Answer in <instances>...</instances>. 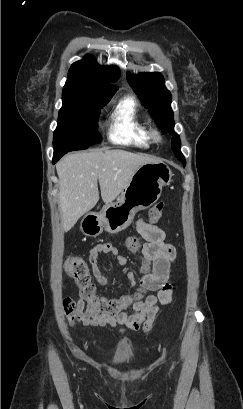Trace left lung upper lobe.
Masks as SVG:
<instances>
[{
	"label": "left lung upper lobe",
	"instance_id": "1",
	"mask_svg": "<svg viewBox=\"0 0 243 409\" xmlns=\"http://www.w3.org/2000/svg\"><path fill=\"white\" fill-rule=\"evenodd\" d=\"M127 80L145 107L149 109L152 118L161 127L162 133L172 135V150L185 165V158L180 152V138L174 132L172 97L170 91L165 87L163 76L157 72L141 73L136 76L128 74Z\"/></svg>",
	"mask_w": 243,
	"mask_h": 409
}]
</instances>
